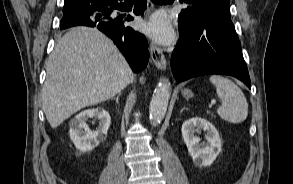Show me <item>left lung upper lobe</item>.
Returning a JSON list of instances; mask_svg holds the SVG:
<instances>
[{
  "mask_svg": "<svg viewBox=\"0 0 293 184\" xmlns=\"http://www.w3.org/2000/svg\"><path fill=\"white\" fill-rule=\"evenodd\" d=\"M186 3L192 6L188 7L189 10H194L196 5L201 7H211L214 9L222 10L230 14L229 0H185Z\"/></svg>",
  "mask_w": 293,
  "mask_h": 184,
  "instance_id": "left-lung-upper-lobe-1",
  "label": "left lung upper lobe"
}]
</instances>
